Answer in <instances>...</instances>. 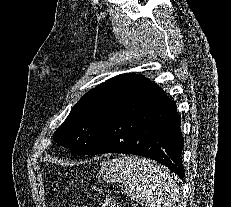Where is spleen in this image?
<instances>
[{
	"label": "spleen",
	"mask_w": 231,
	"mask_h": 207,
	"mask_svg": "<svg viewBox=\"0 0 231 207\" xmlns=\"http://www.w3.org/2000/svg\"><path fill=\"white\" fill-rule=\"evenodd\" d=\"M99 173L106 181L122 183L126 194L144 206L174 207L180 202L178 185L161 165L139 157L103 162Z\"/></svg>",
	"instance_id": "3e777b00"
}]
</instances>
